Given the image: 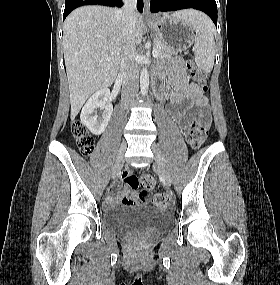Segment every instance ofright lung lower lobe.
I'll return each mask as SVG.
<instances>
[{"label":"right lung lower lobe","mask_w":280,"mask_h":285,"mask_svg":"<svg viewBox=\"0 0 280 285\" xmlns=\"http://www.w3.org/2000/svg\"><path fill=\"white\" fill-rule=\"evenodd\" d=\"M83 5H105L112 7H121L123 4L122 0H65L63 20L73 9ZM137 9L138 11L143 12V0H137Z\"/></svg>","instance_id":"1"}]
</instances>
